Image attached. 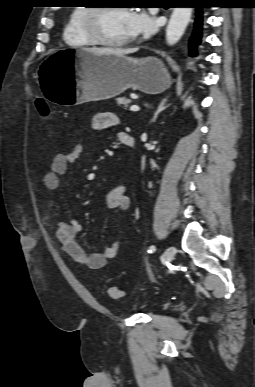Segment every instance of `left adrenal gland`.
Instances as JSON below:
<instances>
[{
    "label": "left adrenal gland",
    "mask_w": 255,
    "mask_h": 387,
    "mask_svg": "<svg viewBox=\"0 0 255 387\" xmlns=\"http://www.w3.org/2000/svg\"><path fill=\"white\" fill-rule=\"evenodd\" d=\"M167 101H168V97H166V98L161 100V102L159 103L156 111L154 112L153 118L150 121V123L155 122L157 117H158V115H159V113H161L162 111H164L168 107V105H166Z\"/></svg>",
    "instance_id": "1"
}]
</instances>
